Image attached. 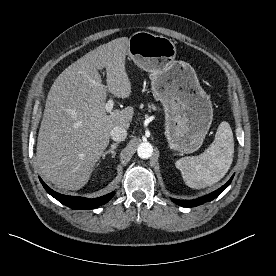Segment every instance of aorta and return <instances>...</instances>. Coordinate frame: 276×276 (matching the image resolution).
Returning <instances> with one entry per match:
<instances>
[{
	"label": "aorta",
	"instance_id": "aorta-1",
	"mask_svg": "<svg viewBox=\"0 0 276 276\" xmlns=\"http://www.w3.org/2000/svg\"><path fill=\"white\" fill-rule=\"evenodd\" d=\"M137 154L142 159H148L153 154V147L149 142L141 143L137 148Z\"/></svg>",
	"mask_w": 276,
	"mask_h": 276
}]
</instances>
